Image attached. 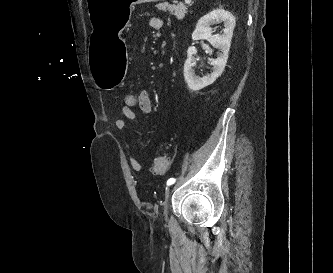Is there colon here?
I'll list each match as a JSON object with an SVG mask.
<instances>
[{
  "instance_id": "1",
  "label": "colon",
  "mask_w": 333,
  "mask_h": 273,
  "mask_svg": "<svg viewBox=\"0 0 333 273\" xmlns=\"http://www.w3.org/2000/svg\"><path fill=\"white\" fill-rule=\"evenodd\" d=\"M138 94L129 93L124 97V107L129 109L137 107ZM169 167V159L166 156H158L155 158L152 165V172L158 175L164 174Z\"/></svg>"
}]
</instances>
